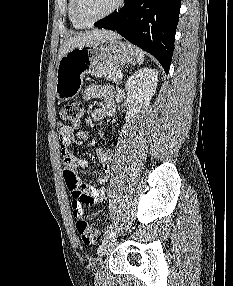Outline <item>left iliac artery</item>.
Returning a JSON list of instances; mask_svg holds the SVG:
<instances>
[{
	"mask_svg": "<svg viewBox=\"0 0 233 286\" xmlns=\"http://www.w3.org/2000/svg\"><path fill=\"white\" fill-rule=\"evenodd\" d=\"M113 223L109 224L104 232V236H106L107 234H109L112 230H113Z\"/></svg>",
	"mask_w": 233,
	"mask_h": 286,
	"instance_id": "1",
	"label": "left iliac artery"
}]
</instances>
